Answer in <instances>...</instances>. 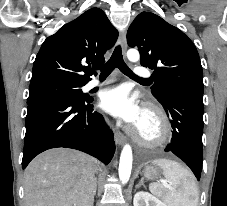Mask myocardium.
I'll use <instances>...</instances> for the list:
<instances>
[{
  "label": "myocardium",
  "mask_w": 227,
  "mask_h": 206,
  "mask_svg": "<svg viewBox=\"0 0 227 206\" xmlns=\"http://www.w3.org/2000/svg\"><path fill=\"white\" fill-rule=\"evenodd\" d=\"M144 113L152 117L156 124V133L152 137L143 136L138 127L133 132V139L143 147H158L165 144L171 135V128L165 111L158 104L148 102L143 109Z\"/></svg>",
  "instance_id": "1"
}]
</instances>
